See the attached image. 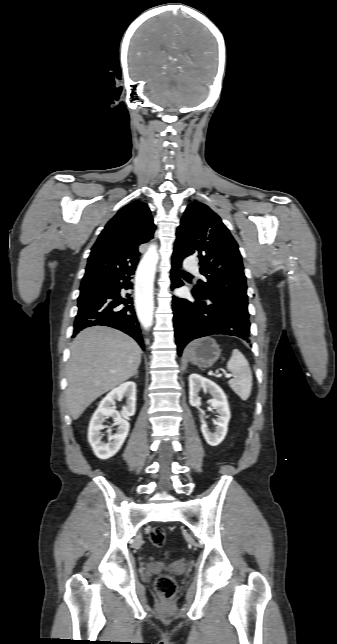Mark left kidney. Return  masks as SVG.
<instances>
[{
    "instance_id": "1",
    "label": "left kidney",
    "mask_w": 337,
    "mask_h": 644,
    "mask_svg": "<svg viewBox=\"0 0 337 644\" xmlns=\"http://www.w3.org/2000/svg\"><path fill=\"white\" fill-rule=\"evenodd\" d=\"M209 392L212 396L210 403L213 409L219 414L215 421V432L209 431L206 422L203 419V412L200 411L201 431L206 442L211 446L219 445L225 438L228 431V423L231 418L227 397L223 390L213 381L204 378L198 374L189 376V402L191 406L199 407L201 398L198 396L199 391Z\"/></svg>"
}]
</instances>
